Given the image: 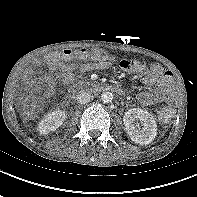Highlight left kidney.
I'll list each match as a JSON object with an SVG mask.
<instances>
[{"mask_svg": "<svg viewBox=\"0 0 197 197\" xmlns=\"http://www.w3.org/2000/svg\"><path fill=\"white\" fill-rule=\"evenodd\" d=\"M135 119L140 120L142 128L134 124ZM123 122L126 133L137 144L147 145L157 135V124L154 117L149 112L140 108H133L126 111Z\"/></svg>", "mask_w": 197, "mask_h": 197, "instance_id": "left-kidney-1", "label": "left kidney"}]
</instances>
